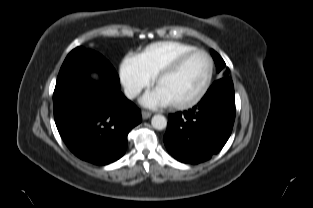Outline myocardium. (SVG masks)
Listing matches in <instances>:
<instances>
[{"label":"myocardium","instance_id":"1","mask_svg":"<svg viewBox=\"0 0 313 208\" xmlns=\"http://www.w3.org/2000/svg\"><path fill=\"white\" fill-rule=\"evenodd\" d=\"M195 54H203L207 58L208 65H209L207 78L201 90L198 92V94L195 97L184 102L170 103V106L174 109L191 108L197 105L206 96L207 92L209 91L211 87L213 75H214V61L212 57L210 56L208 52L199 48L184 52L178 57H176L168 66H166L161 71H159L157 75L155 76L154 87H157L163 79L175 73L189 57Z\"/></svg>","mask_w":313,"mask_h":208}]
</instances>
